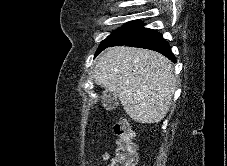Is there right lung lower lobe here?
<instances>
[{
    "mask_svg": "<svg viewBox=\"0 0 227 166\" xmlns=\"http://www.w3.org/2000/svg\"><path fill=\"white\" fill-rule=\"evenodd\" d=\"M122 45L154 50L168 57L171 61H176L168 43L162 35L155 30L144 28L142 24L120 39L110 43L105 48Z\"/></svg>",
    "mask_w": 227,
    "mask_h": 166,
    "instance_id": "98d812e1",
    "label": "right lung lower lobe"
}]
</instances>
